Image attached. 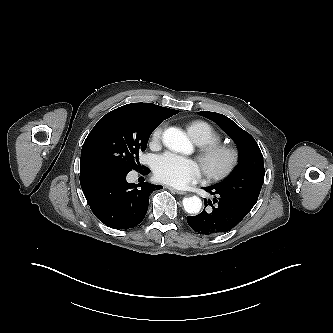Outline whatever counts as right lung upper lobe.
I'll use <instances>...</instances> for the list:
<instances>
[{
  "mask_svg": "<svg viewBox=\"0 0 333 333\" xmlns=\"http://www.w3.org/2000/svg\"><path fill=\"white\" fill-rule=\"evenodd\" d=\"M114 111L128 112L136 115H144L157 120H165L174 114L177 110L161 107L152 103H132L115 109Z\"/></svg>",
  "mask_w": 333,
  "mask_h": 333,
  "instance_id": "cb5924a9",
  "label": "right lung upper lobe"
}]
</instances>
